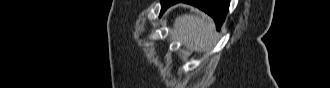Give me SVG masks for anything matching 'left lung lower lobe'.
Returning <instances> with one entry per match:
<instances>
[{
    "mask_svg": "<svg viewBox=\"0 0 330 88\" xmlns=\"http://www.w3.org/2000/svg\"><path fill=\"white\" fill-rule=\"evenodd\" d=\"M178 2L191 4L206 12L214 19L217 29L222 26L230 4L229 0H162L160 16L167 8Z\"/></svg>",
    "mask_w": 330,
    "mask_h": 88,
    "instance_id": "0a47b994",
    "label": "left lung lower lobe"
}]
</instances>
